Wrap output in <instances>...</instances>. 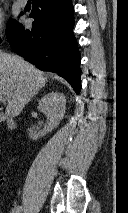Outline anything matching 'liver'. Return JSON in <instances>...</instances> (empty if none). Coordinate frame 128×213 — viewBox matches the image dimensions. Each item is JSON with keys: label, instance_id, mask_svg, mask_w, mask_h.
I'll return each mask as SVG.
<instances>
[{"label": "liver", "instance_id": "1", "mask_svg": "<svg viewBox=\"0 0 128 213\" xmlns=\"http://www.w3.org/2000/svg\"><path fill=\"white\" fill-rule=\"evenodd\" d=\"M43 72L17 55L0 51V95L7 101L6 114L18 116L46 85Z\"/></svg>", "mask_w": 128, "mask_h": 213}]
</instances>
